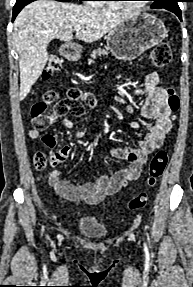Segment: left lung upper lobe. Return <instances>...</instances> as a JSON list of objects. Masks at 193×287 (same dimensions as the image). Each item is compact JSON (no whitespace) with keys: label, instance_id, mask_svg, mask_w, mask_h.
Wrapping results in <instances>:
<instances>
[{"label":"left lung upper lobe","instance_id":"1","mask_svg":"<svg viewBox=\"0 0 193 287\" xmlns=\"http://www.w3.org/2000/svg\"><path fill=\"white\" fill-rule=\"evenodd\" d=\"M151 1H153L151 8L160 9L170 6H178V2L180 0H151Z\"/></svg>","mask_w":193,"mask_h":287}]
</instances>
